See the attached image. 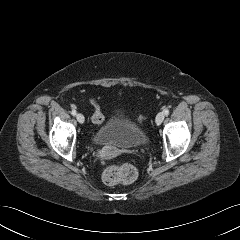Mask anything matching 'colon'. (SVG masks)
Segmentation results:
<instances>
[{
    "mask_svg": "<svg viewBox=\"0 0 240 240\" xmlns=\"http://www.w3.org/2000/svg\"><path fill=\"white\" fill-rule=\"evenodd\" d=\"M93 107L92 121L100 125L104 122V115L102 114L98 103L92 99L90 101ZM143 118H140L142 120ZM138 177V169L132 163H123L121 165H111L103 172V181L107 185H116L119 183L129 184L135 181Z\"/></svg>",
    "mask_w": 240,
    "mask_h": 240,
    "instance_id": "1",
    "label": "colon"
}]
</instances>
